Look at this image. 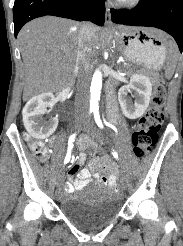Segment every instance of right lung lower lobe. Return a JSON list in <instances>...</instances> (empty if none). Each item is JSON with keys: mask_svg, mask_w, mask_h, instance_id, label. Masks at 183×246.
Returning <instances> with one entry per match:
<instances>
[{"mask_svg": "<svg viewBox=\"0 0 183 246\" xmlns=\"http://www.w3.org/2000/svg\"><path fill=\"white\" fill-rule=\"evenodd\" d=\"M45 15L77 21L89 20L103 26L105 5L102 0H15L13 7L15 37L25 23Z\"/></svg>", "mask_w": 183, "mask_h": 246, "instance_id": "right-lung-lower-lobe-1", "label": "right lung lower lobe"}]
</instances>
